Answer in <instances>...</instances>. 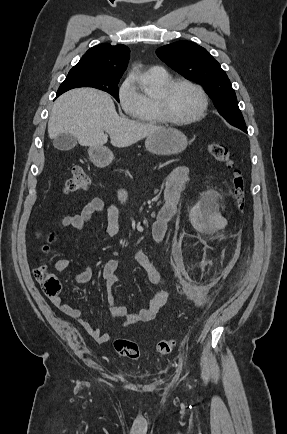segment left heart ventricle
I'll use <instances>...</instances> for the list:
<instances>
[{
  "label": "left heart ventricle",
  "instance_id": "b2bd125f",
  "mask_svg": "<svg viewBox=\"0 0 287 434\" xmlns=\"http://www.w3.org/2000/svg\"><path fill=\"white\" fill-rule=\"evenodd\" d=\"M169 114L176 119L194 116L201 105L199 94L191 87L178 85L171 90L166 99Z\"/></svg>",
  "mask_w": 287,
  "mask_h": 434
}]
</instances>
